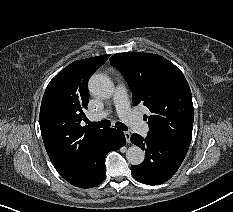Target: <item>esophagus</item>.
Listing matches in <instances>:
<instances>
[{"label": "esophagus", "mask_w": 233, "mask_h": 212, "mask_svg": "<svg viewBox=\"0 0 233 212\" xmlns=\"http://www.w3.org/2000/svg\"><path fill=\"white\" fill-rule=\"evenodd\" d=\"M124 135H125L127 143H130V137H131L130 132H124Z\"/></svg>", "instance_id": "1"}]
</instances>
